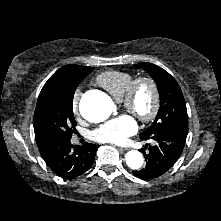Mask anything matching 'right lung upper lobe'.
I'll return each mask as SVG.
<instances>
[{
	"label": "right lung upper lobe",
	"mask_w": 221,
	"mask_h": 221,
	"mask_svg": "<svg viewBox=\"0 0 221 221\" xmlns=\"http://www.w3.org/2000/svg\"><path fill=\"white\" fill-rule=\"evenodd\" d=\"M73 66H76V65H66V66L60 68L58 71H56V72L49 78V80L45 83V85H44V87L42 88L41 92L44 91L49 85L56 83V82L61 78L62 74H63L66 70L72 68ZM38 146H40V145H38Z\"/></svg>",
	"instance_id": "right-lung-upper-lobe-1"
}]
</instances>
